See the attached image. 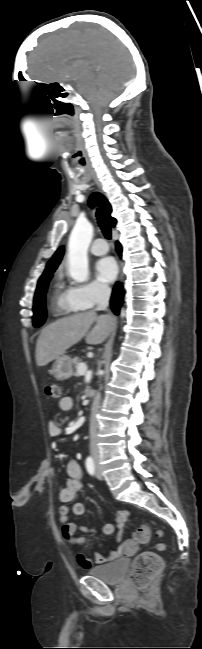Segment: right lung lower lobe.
<instances>
[{"mask_svg": "<svg viewBox=\"0 0 202 649\" xmlns=\"http://www.w3.org/2000/svg\"><path fill=\"white\" fill-rule=\"evenodd\" d=\"M116 250L121 255L122 249L119 242H116ZM123 296H124L123 287L119 286V284L116 283L113 288L111 299H110V306L116 315L119 314V310L122 306Z\"/></svg>", "mask_w": 202, "mask_h": 649, "instance_id": "1", "label": "right lung lower lobe"}]
</instances>
